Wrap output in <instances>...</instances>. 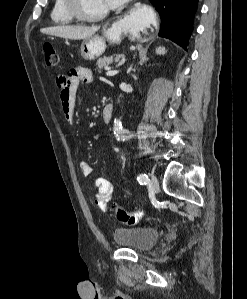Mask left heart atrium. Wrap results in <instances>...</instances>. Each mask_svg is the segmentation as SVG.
Masks as SVG:
<instances>
[{
  "label": "left heart atrium",
  "instance_id": "1",
  "mask_svg": "<svg viewBox=\"0 0 247 299\" xmlns=\"http://www.w3.org/2000/svg\"><path fill=\"white\" fill-rule=\"evenodd\" d=\"M108 8H116L127 0H105Z\"/></svg>",
  "mask_w": 247,
  "mask_h": 299
}]
</instances>
